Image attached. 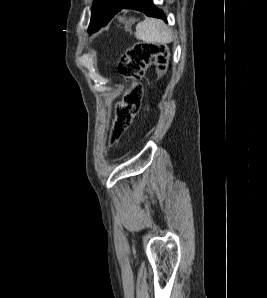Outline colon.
I'll return each instance as SVG.
<instances>
[{
    "mask_svg": "<svg viewBox=\"0 0 267 298\" xmlns=\"http://www.w3.org/2000/svg\"><path fill=\"white\" fill-rule=\"evenodd\" d=\"M169 60L168 49L163 44L138 42L127 50L121 58L118 69L120 74L131 81L125 93L122 105L115 113L109 143L115 144L120 134L129 126L133 115L137 112L141 96L142 86L140 79L144 75L148 65L153 64L157 79L166 72Z\"/></svg>",
    "mask_w": 267,
    "mask_h": 298,
    "instance_id": "colon-1",
    "label": "colon"
}]
</instances>
